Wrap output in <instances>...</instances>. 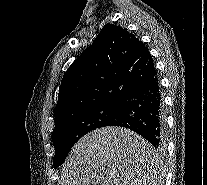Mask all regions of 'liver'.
<instances>
[{
    "label": "liver",
    "instance_id": "6515ba94",
    "mask_svg": "<svg viewBox=\"0 0 207 185\" xmlns=\"http://www.w3.org/2000/svg\"><path fill=\"white\" fill-rule=\"evenodd\" d=\"M155 151L126 127H100L72 147L62 185H152Z\"/></svg>",
    "mask_w": 207,
    "mask_h": 185
}]
</instances>
